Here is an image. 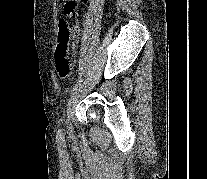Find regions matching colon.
<instances>
[{"mask_svg": "<svg viewBox=\"0 0 207 179\" xmlns=\"http://www.w3.org/2000/svg\"><path fill=\"white\" fill-rule=\"evenodd\" d=\"M66 13H77L78 0H63ZM74 30L66 21L59 23L58 44L56 49V66L60 78L65 79L72 73L70 52L71 31Z\"/></svg>", "mask_w": 207, "mask_h": 179, "instance_id": "colon-1", "label": "colon"}]
</instances>
